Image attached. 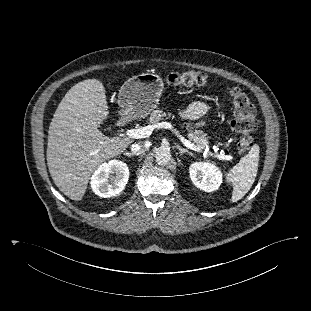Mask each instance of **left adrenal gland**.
Masks as SVG:
<instances>
[{
	"instance_id": "a2214340",
	"label": "left adrenal gland",
	"mask_w": 311,
	"mask_h": 311,
	"mask_svg": "<svg viewBox=\"0 0 311 311\" xmlns=\"http://www.w3.org/2000/svg\"><path fill=\"white\" fill-rule=\"evenodd\" d=\"M175 147L179 150V153H180L181 156H183L185 153H187V154L193 156V153H192V152H190V151L187 150V149L182 148L180 145H176Z\"/></svg>"
}]
</instances>
